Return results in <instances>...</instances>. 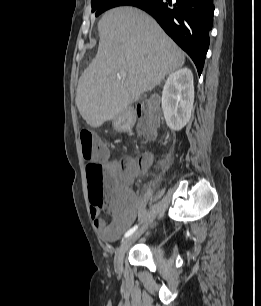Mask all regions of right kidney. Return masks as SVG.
Returning a JSON list of instances; mask_svg holds the SVG:
<instances>
[{"label": "right kidney", "instance_id": "1", "mask_svg": "<svg viewBox=\"0 0 261 306\" xmlns=\"http://www.w3.org/2000/svg\"><path fill=\"white\" fill-rule=\"evenodd\" d=\"M194 102L193 74L183 68L171 73L162 91V110L167 126L181 130L189 121Z\"/></svg>", "mask_w": 261, "mask_h": 306}]
</instances>
